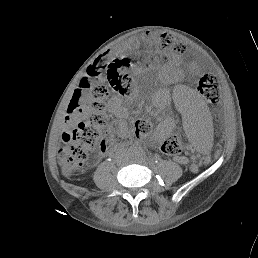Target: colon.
Here are the masks:
<instances>
[{
	"mask_svg": "<svg viewBox=\"0 0 258 258\" xmlns=\"http://www.w3.org/2000/svg\"><path fill=\"white\" fill-rule=\"evenodd\" d=\"M149 45L179 51L173 39L167 34L151 38ZM127 68V64L121 60L102 57L94 61L86 76L81 79L69 108L71 112L82 109L85 118L80 127L68 134L59 149L58 160L64 175L71 176L77 173L87 160L89 152L113 148L121 143V132L103 134L102 128L105 124L107 83L123 95H128L132 91L133 84ZM197 88L209 102L217 103L220 100V87L216 76L205 74L200 78ZM134 133L140 138L147 139L151 135L149 122L136 121ZM159 149L168 156H177L182 153V142L177 136H169L160 141Z\"/></svg>",
	"mask_w": 258,
	"mask_h": 258,
	"instance_id": "colon-1",
	"label": "colon"
}]
</instances>
